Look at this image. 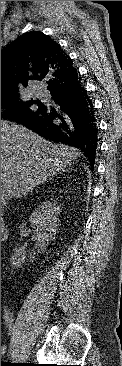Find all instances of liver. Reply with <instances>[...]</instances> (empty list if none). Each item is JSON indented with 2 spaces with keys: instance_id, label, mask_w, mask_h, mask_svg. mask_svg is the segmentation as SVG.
Listing matches in <instances>:
<instances>
[{
  "instance_id": "obj_1",
  "label": "liver",
  "mask_w": 122,
  "mask_h": 366,
  "mask_svg": "<svg viewBox=\"0 0 122 366\" xmlns=\"http://www.w3.org/2000/svg\"><path fill=\"white\" fill-rule=\"evenodd\" d=\"M76 155L71 147L53 144L24 127L1 122V182L11 195L25 194Z\"/></svg>"
}]
</instances>
